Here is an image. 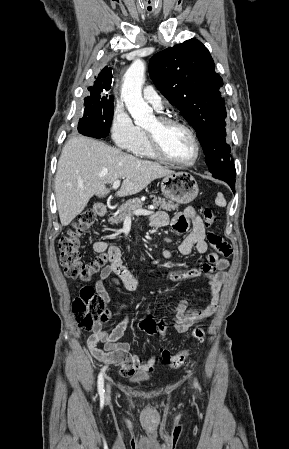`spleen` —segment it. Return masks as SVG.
I'll return each mask as SVG.
<instances>
[{"instance_id":"spleen-1","label":"spleen","mask_w":289,"mask_h":449,"mask_svg":"<svg viewBox=\"0 0 289 449\" xmlns=\"http://www.w3.org/2000/svg\"><path fill=\"white\" fill-rule=\"evenodd\" d=\"M215 203H216V205H218L220 207L226 206V200L224 199L222 193H218L217 198L215 199Z\"/></svg>"}]
</instances>
